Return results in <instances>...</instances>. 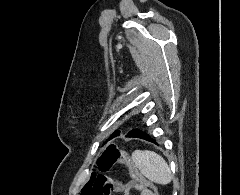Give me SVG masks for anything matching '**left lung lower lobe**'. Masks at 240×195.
I'll return each mask as SVG.
<instances>
[{"instance_id":"left-lung-lower-lobe-1","label":"left lung lower lobe","mask_w":240,"mask_h":195,"mask_svg":"<svg viewBox=\"0 0 240 195\" xmlns=\"http://www.w3.org/2000/svg\"><path fill=\"white\" fill-rule=\"evenodd\" d=\"M129 137H137V138H142L151 142H155L154 140H152L145 132H142L139 129H132L131 131H129L128 133Z\"/></svg>"}]
</instances>
